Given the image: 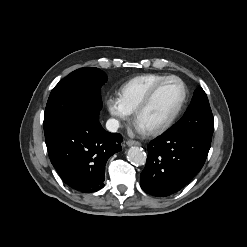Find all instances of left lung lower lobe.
Segmentation results:
<instances>
[{
  "label": "left lung lower lobe",
  "instance_id": "1",
  "mask_svg": "<svg viewBox=\"0 0 247 247\" xmlns=\"http://www.w3.org/2000/svg\"><path fill=\"white\" fill-rule=\"evenodd\" d=\"M212 136L187 134L172 127L148 145L140 186L154 196H168L182 189L202 168Z\"/></svg>",
  "mask_w": 247,
  "mask_h": 247
}]
</instances>
